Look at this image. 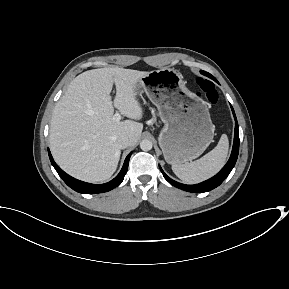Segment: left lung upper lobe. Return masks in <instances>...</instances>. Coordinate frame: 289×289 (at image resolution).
<instances>
[{
	"label": "left lung upper lobe",
	"mask_w": 289,
	"mask_h": 289,
	"mask_svg": "<svg viewBox=\"0 0 289 289\" xmlns=\"http://www.w3.org/2000/svg\"><path fill=\"white\" fill-rule=\"evenodd\" d=\"M201 73H202L203 75H206V76H208L209 78H211V79H213V80L216 81V79H215L211 74H209L208 72L201 71Z\"/></svg>",
	"instance_id": "obj_1"
}]
</instances>
